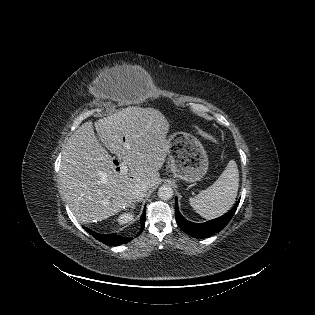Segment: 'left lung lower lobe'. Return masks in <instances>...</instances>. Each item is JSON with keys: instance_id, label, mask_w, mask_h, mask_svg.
<instances>
[{"instance_id": "obj_1", "label": "left lung lower lobe", "mask_w": 315, "mask_h": 315, "mask_svg": "<svg viewBox=\"0 0 315 315\" xmlns=\"http://www.w3.org/2000/svg\"><path fill=\"white\" fill-rule=\"evenodd\" d=\"M238 204L239 201L234 205V207L229 212L216 219L204 223H193L186 220L181 215L178 209V203L176 198L175 203L176 222L179 228L185 233L195 238H206L210 235H213L214 233L219 232L229 223L238 207Z\"/></svg>"}]
</instances>
